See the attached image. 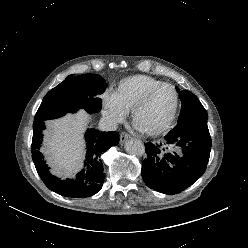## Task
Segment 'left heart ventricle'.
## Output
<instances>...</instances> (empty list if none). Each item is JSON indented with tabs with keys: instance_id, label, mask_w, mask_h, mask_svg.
Returning a JSON list of instances; mask_svg holds the SVG:
<instances>
[{
	"instance_id": "left-heart-ventricle-1",
	"label": "left heart ventricle",
	"mask_w": 248,
	"mask_h": 248,
	"mask_svg": "<svg viewBox=\"0 0 248 248\" xmlns=\"http://www.w3.org/2000/svg\"><path fill=\"white\" fill-rule=\"evenodd\" d=\"M173 104V90L169 87L159 89L137 115L136 127L141 130H154L163 126L172 112Z\"/></svg>"
}]
</instances>
